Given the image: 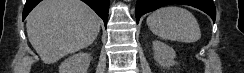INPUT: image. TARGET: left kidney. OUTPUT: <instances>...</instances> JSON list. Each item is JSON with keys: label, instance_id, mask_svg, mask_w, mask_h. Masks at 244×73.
I'll list each match as a JSON object with an SVG mask.
<instances>
[{"label": "left kidney", "instance_id": "left-kidney-1", "mask_svg": "<svg viewBox=\"0 0 244 73\" xmlns=\"http://www.w3.org/2000/svg\"><path fill=\"white\" fill-rule=\"evenodd\" d=\"M154 58L162 67L169 68L175 64L176 53L174 49L161 41H153Z\"/></svg>", "mask_w": 244, "mask_h": 73}]
</instances>
